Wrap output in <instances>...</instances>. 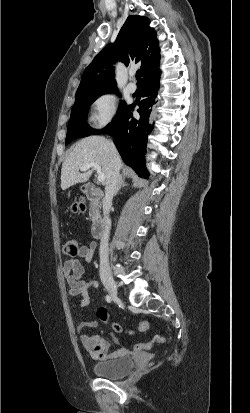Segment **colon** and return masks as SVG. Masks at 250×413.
Segmentation results:
<instances>
[{"label":"colon","instance_id":"1","mask_svg":"<svg viewBox=\"0 0 250 413\" xmlns=\"http://www.w3.org/2000/svg\"><path fill=\"white\" fill-rule=\"evenodd\" d=\"M84 205L82 203H75L72 206V210L73 212H80L84 210ZM79 244L78 241L76 239H69L66 241V243L64 244V253L66 255L69 256H75L79 253ZM99 318L105 322V323H109L110 322V318L108 316L107 311L104 308H101L99 310ZM113 327L117 332H121L122 331V327L117 324V323H113ZM150 327V322L148 320H140L139 323L136 324V329L140 334H143L146 329H148ZM133 331H130V334H133ZM165 339L164 337L157 335L153 338L152 343L151 342H145V341H136L134 343H132V348H131V353L132 354H137L139 352H147L148 349L154 348V344H161L164 343ZM150 365H152V363H150Z\"/></svg>","mask_w":250,"mask_h":413}]
</instances>
